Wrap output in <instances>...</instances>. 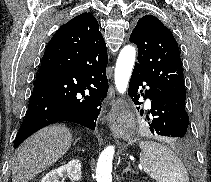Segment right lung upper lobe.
I'll return each instance as SVG.
<instances>
[{"mask_svg": "<svg viewBox=\"0 0 211 182\" xmlns=\"http://www.w3.org/2000/svg\"><path fill=\"white\" fill-rule=\"evenodd\" d=\"M55 35L58 37H68L73 39L75 43L103 40L96 18L89 13H83L73 18L64 24Z\"/></svg>", "mask_w": 211, "mask_h": 182, "instance_id": "cb5924a9", "label": "right lung upper lobe"}]
</instances>
